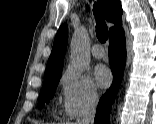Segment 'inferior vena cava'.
Segmentation results:
<instances>
[{"label":"inferior vena cava","mask_w":156,"mask_h":124,"mask_svg":"<svg viewBox=\"0 0 156 124\" xmlns=\"http://www.w3.org/2000/svg\"><path fill=\"white\" fill-rule=\"evenodd\" d=\"M98 104V97L96 94H91L83 102L79 115L75 124H93Z\"/></svg>","instance_id":"inferior-vena-cava-1"}]
</instances>
